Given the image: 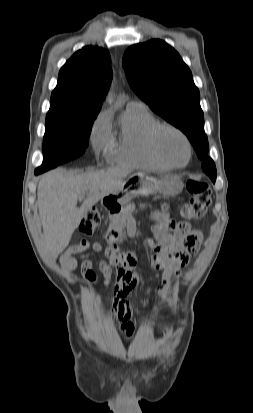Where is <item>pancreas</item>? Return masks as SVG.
<instances>
[{
  "mask_svg": "<svg viewBox=\"0 0 253 413\" xmlns=\"http://www.w3.org/2000/svg\"><path fill=\"white\" fill-rule=\"evenodd\" d=\"M133 204H127L126 207L122 210V212H120L119 214L113 216L110 220V226L112 229H114L119 237H120V241H122L123 237H124V228L126 226V219L128 218V216L130 215L131 209L133 208Z\"/></svg>",
  "mask_w": 253,
  "mask_h": 413,
  "instance_id": "cf45deb5",
  "label": "pancreas"
}]
</instances>
